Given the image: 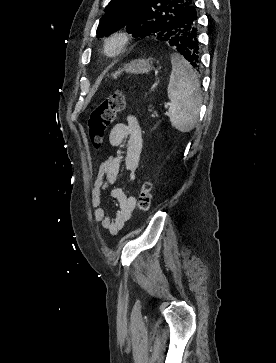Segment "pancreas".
Segmentation results:
<instances>
[{"label":"pancreas","instance_id":"1","mask_svg":"<svg viewBox=\"0 0 276 363\" xmlns=\"http://www.w3.org/2000/svg\"><path fill=\"white\" fill-rule=\"evenodd\" d=\"M153 116L155 117V116H158V115H157V113H156V112H154Z\"/></svg>","mask_w":276,"mask_h":363}]
</instances>
